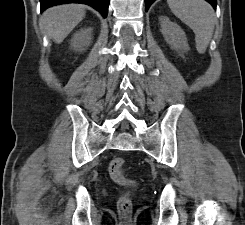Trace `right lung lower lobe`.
I'll use <instances>...</instances> for the list:
<instances>
[{
    "mask_svg": "<svg viewBox=\"0 0 245 225\" xmlns=\"http://www.w3.org/2000/svg\"><path fill=\"white\" fill-rule=\"evenodd\" d=\"M64 3H83L92 6L105 18L108 13L109 0H40L41 11L45 9Z\"/></svg>",
    "mask_w": 245,
    "mask_h": 225,
    "instance_id": "obj_1",
    "label": "right lung lower lobe"
}]
</instances>
